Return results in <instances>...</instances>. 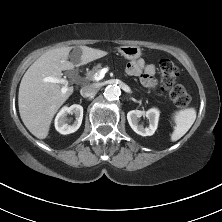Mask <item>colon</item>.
Returning a JSON list of instances; mask_svg holds the SVG:
<instances>
[{
	"label": "colon",
	"mask_w": 222,
	"mask_h": 222,
	"mask_svg": "<svg viewBox=\"0 0 222 222\" xmlns=\"http://www.w3.org/2000/svg\"><path fill=\"white\" fill-rule=\"evenodd\" d=\"M159 71L164 90L179 108H186L190 103V96L186 89L177 82L178 68L170 59H161Z\"/></svg>",
	"instance_id": "1"
}]
</instances>
